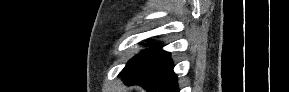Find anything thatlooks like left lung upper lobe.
I'll use <instances>...</instances> for the list:
<instances>
[{
	"label": "left lung upper lobe",
	"instance_id": "obj_1",
	"mask_svg": "<svg viewBox=\"0 0 289 92\" xmlns=\"http://www.w3.org/2000/svg\"><path fill=\"white\" fill-rule=\"evenodd\" d=\"M150 43H151V41H150ZM143 52H144V51H142L139 55H136L134 58H132V59L129 61V63L132 62L133 60H135V59H136L138 56H140ZM129 63H128V64H129ZM128 64H127V65H128Z\"/></svg>",
	"mask_w": 289,
	"mask_h": 92
}]
</instances>
